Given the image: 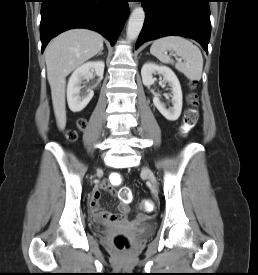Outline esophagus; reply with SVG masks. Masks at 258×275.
I'll return each instance as SVG.
<instances>
[{
	"instance_id": "1",
	"label": "esophagus",
	"mask_w": 258,
	"mask_h": 275,
	"mask_svg": "<svg viewBox=\"0 0 258 275\" xmlns=\"http://www.w3.org/2000/svg\"><path fill=\"white\" fill-rule=\"evenodd\" d=\"M133 2V1H132ZM129 7L132 8L134 7V3H129Z\"/></svg>"
}]
</instances>
